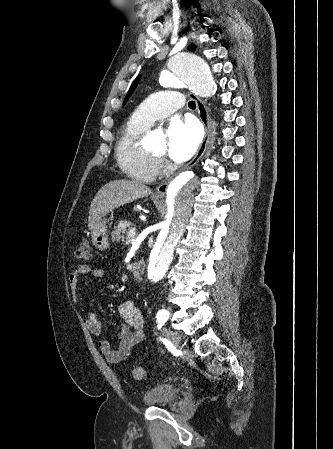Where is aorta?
I'll list each match as a JSON object with an SVG mask.
<instances>
[{
  "instance_id": "aorta-1",
  "label": "aorta",
  "mask_w": 333,
  "mask_h": 449,
  "mask_svg": "<svg viewBox=\"0 0 333 449\" xmlns=\"http://www.w3.org/2000/svg\"><path fill=\"white\" fill-rule=\"evenodd\" d=\"M160 83L167 87H188L201 97H212L216 83L210 67L201 57L183 53L169 57L160 70ZM153 145L156 138H149ZM160 147L165 143L160 142ZM202 175L183 172L173 178L167 189L168 214L151 250L148 278L161 280L173 259L174 249L181 239L193 208L194 194L200 188Z\"/></svg>"
}]
</instances>
